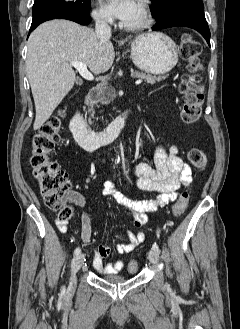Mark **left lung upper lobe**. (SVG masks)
Listing matches in <instances>:
<instances>
[{"label":"left lung upper lobe","mask_w":240,"mask_h":329,"mask_svg":"<svg viewBox=\"0 0 240 329\" xmlns=\"http://www.w3.org/2000/svg\"><path fill=\"white\" fill-rule=\"evenodd\" d=\"M153 7L150 11L156 21L164 17V15L177 8H195L204 10L202 0H151Z\"/></svg>","instance_id":"obj_1"}]
</instances>
